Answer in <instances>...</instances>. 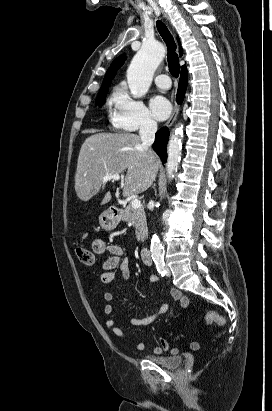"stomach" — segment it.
I'll list each match as a JSON object with an SVG mask.
<instances>
[{
  "label": "stomach",
  "instance_id": "1",
  "mask_svg": "<svg viewBox=\"0 0 272 411\" xmlns=\"http://www.w3.org/2000/svg\"><path fill=\"white\" fill-rule=\"evenodd\" d=\"M119 222H120V217L116 216L110 210L103 212L99 216V224L102 227V229L106 231H111L115 229L117 225L119 224Z\"/></svg>",
  "mask_w": 272,
  "mask_h": 411
}]
</instances>
